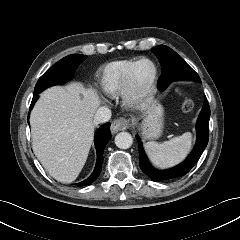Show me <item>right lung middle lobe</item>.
Instances as JSON below:
<instances>
[{
  "label": "right lung middle lobe",
  "mask_w": 240,
  "mask_h": 240,
  "mask_svg": "<svg viewBox=\"0 0 240 240\" xmlns=\"http://www.w3.org/2000/svg\"><path fill=\"white\" fill-rule=\"evenodd\" d=\"M86 57L82 54H72L61 59L40 77L34 94H38L50 86L65 83L73 75L78 64Z\"/></svg>",
  "instance_id": "dd1d6c3e"
}]
</instances>
